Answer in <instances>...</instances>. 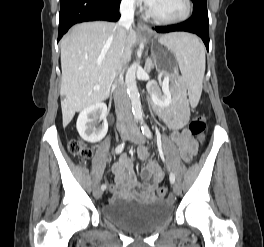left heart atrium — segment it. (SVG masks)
<instances>
[{
    "label": "left heart atrium",
    "instance_id": "1",
    "mask_svg": "<svg viewBox=\"0 0 264 247\" xmlns=\"http://www.w3.org/2000/svg\"><path fill=\"white\" fill-rule=\"evenodd\" d=\"M157 0H144V2L146 4H148L149 6H153L156 3Z\"/></svg>",
    "mask_w": 264,
    "mask_h": 247
}]
</instances>
